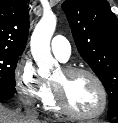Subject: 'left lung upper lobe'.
Returning a JSON list of instances; mask_svg holds the SVG:
<instances>
[{
    "label": "left lung upper lobe",
    "instance_id": "obj_1",
    "mask_svg": "<svg viewBox=\"0 0 118 123\" xmlns=\"http://www.w3.org/2000/svg\"><path fill=\"white\" fill-rule=\"evenodd\" d=\"M77 49L103 83L109 118L118 117V19L106 0H65Z\"/></svg>",
    "mask_w": 118,
    "mask_h": 123
}]
</instances>
